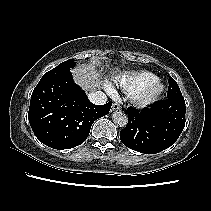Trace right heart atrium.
<instances>
[{
    "mask_svg": "<svg viewBox=\"0 0 211 211\" xmlns=\"http://www.w3.org/2000/svg\"><path fill=\"white\" fill-rule=\"evenodd\" d=\"M106 89H107V91L109 92V93H114V89L111 87V86H107L106 87Z\"/></svg>",
    "mask_w": 211,
    "mask_h": 211,
    "instance_id": "right-heart-atrium-1",
    "label": "right heart atrium"
}]
</instances>
